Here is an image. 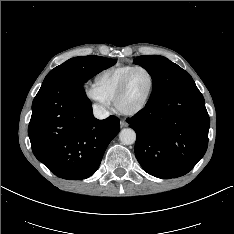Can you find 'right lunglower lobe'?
Wrapping results in <instances>:
<instances>
[{"label":"right lung lower lobe","mask_w":234,"mask_h":234,"mask_svg":"<svg viewBox=\"0 0 234 234\" xmlns=\"http://www.w3.org/2000/svg\"><path fill=\"white\" fill-rule=\"evenodd\" d=\"M114 116L98 120L83 85L70 75L43 82L32 103L28 127L32 151L56 176L90 177L120 130Z\"/></svg>","instance_id":"1"}]
</instances>
